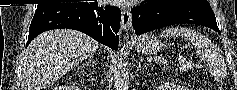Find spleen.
<instances>
[{"label": "spleen", "mask_w": 237, "mask_h": 90, "mask_svg": "<svg viewBox=\"0 0 237 90\" xmlns=\"http://www.w3.org/2000/svg\"><path fill=\"white\" fill-rule=\"evenodd\" d=\"M163 38H170V36H181V38H185V40H190L193 46L196 48L197 56L206 62V58H208L210 44L207 42L205 36H201L199 32H195V30H189V28H166L162 32Z\"/></svg>", "instance_id": "spleen-1"}]
</instances>
